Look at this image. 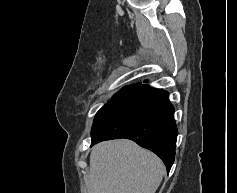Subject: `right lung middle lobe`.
Instances as JSON below:
<instances>
[{
	"label": "right lung middle lobe",
	"instance_id": "dd1d6c3e",
	"mask_svg": "<svg viewBox=\"0 0 237 193\" xmlns=\"http://www.w3.org/2000/svg\"><path fill=\"white\" fill-rule=\"evenodd\" d=\"M141 85V83H137V84H133L130 86H126L123 89H121L118 93H116L112 100L109 101L107 104H105L99 111H104L118 103H120L121 101H123L125 98H127L137 87H139Z\"/></svg>",
	"mask_w": 237,
	"mask_h": 193
}]
</instances>
